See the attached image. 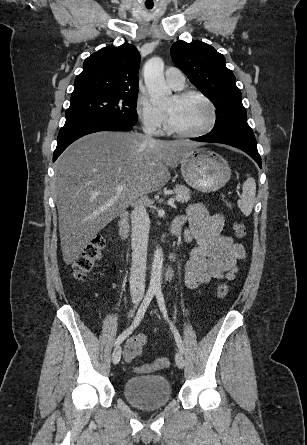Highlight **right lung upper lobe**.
I'll use <instances>...</instances> for the list:
<instances>
[{
  "instance_id": "cb5924a9",
  "label": "right lung upper lobe",
  "mask_w": 307,
  "mask_h": 445,
  "mask_svg": "<svg viewBox=\"0 0 307 445\" xmlns=\"http://www.w3.org/2000/svg\"><path fill=\"white\" fill-rule=\"evenodd\" d=\"M139 63V52L131 44L102 48L84 61L71 97L138 93Z\"/></svg>"
}]
</instances>
